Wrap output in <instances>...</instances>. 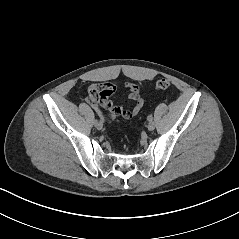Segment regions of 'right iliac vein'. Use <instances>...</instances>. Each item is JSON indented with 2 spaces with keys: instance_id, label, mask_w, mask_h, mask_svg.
Instances as JSON below:
<instances>
[{
  "instance_id": "obj_1",
  "label": "right iliac vein",
  "mask_w": 239,
  "mask_h": 239,
  "mask_svg": "<svg viewBox=\"0 0 239 239\" xmlns=\"http://www.w3.org/2000/svg\"><path fill=\"white\" fill-rule=\"evenodd\" d=\"M95 127L98 129V130H101L102 127H103V124L101 122H98L97 124H95Z\"/></svg>"
}]
</instances>
